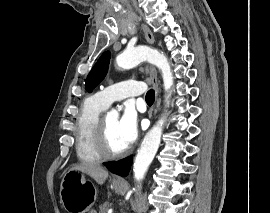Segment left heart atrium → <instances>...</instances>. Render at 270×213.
Segmentation results:
<instances>
[{"mask_svg":"<svg viewBox=\"0 0 270 213\" xmlns=\"http://www.w3.org/2000/svg\"><path fill=\"white\" fill-rule=\"evenodd\" d=\"M118 133L125 148L131 146L138 136V122L134 110L127 106L118 120Z\"/></svg>","mask_w":270,"mask_h":213,"instance_id":"left-heart-atrium-1","label":"left heart atrium"}]
</instances>
